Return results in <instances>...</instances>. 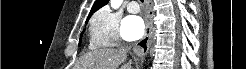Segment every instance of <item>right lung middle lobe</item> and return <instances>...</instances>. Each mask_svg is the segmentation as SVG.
Returning a JSON list of instances; mask_svg holds the SVG:
<instances>
[{"instance_id": "obj_1", "label": "right lung middle lobe", "mask_w": 246, "mask_h": 69, "mask_svg": "<svg viewBox=\"0 0 246 69\" xmlns=\"http://www.w3.org/2000/svg\"><path fill=\"white\" fill-rule=\"evenodd\" d=\"M82 34H83V33H82ZM82 34H81V37H82ZM81 37H80L79 45H80V43H81Z\"/></svg>"}]
</instances>
